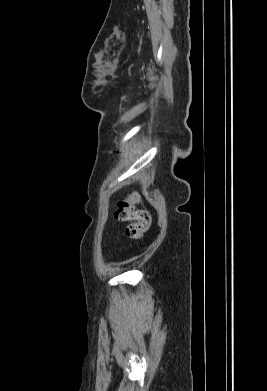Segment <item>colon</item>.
Listing matches in <instances>:
<instances>
[{
	"mask_svg": "<svg viewBox=\"0 0 267 391\" xmlns=\"http://www.w3.org/2000/svg\"><path fill=\"white\" fill-rule=\"evenodd\" d=\"M140 203V197L137 193H131L122 200L118 201L115 218L121 222L131 223L126 229L129 238L142 239L150 226V215L145 210L136 209Z\"/></svg>",
	"mask_w": 267,
	"mask_h": 391,
	"instance_id": "5ec220e1",
	"label": "colon"
}]
</instances>
